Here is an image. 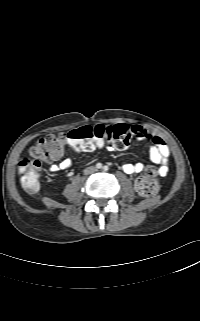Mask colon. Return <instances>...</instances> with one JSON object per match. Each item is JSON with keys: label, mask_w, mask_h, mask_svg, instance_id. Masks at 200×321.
<instances>
[{"label": "colon", "mask_w": 200, "mask_h": 321, "mask_svg": "<svg viewBox=\"0 0 200 321\" xmlns=\"http://www.w3.org/2000/svg\"><path fill=\"white\" fill-rule=\"evenodd\" d=\"M133 137L130 127L119 124L114 127L81 126L70 130L67 134H49L37 140L30 149L29 156L22 158L18 163L21 174V185L28 193L39 190V170L43 163L51 161L63 151L68 143L81 151H92L111 142L117 149H124ZM158 171L149 167L135 181V190L142 197L156 195L160 188Z\"/></svg>", "instance_id": "5ec220e1"}]
</instances>
